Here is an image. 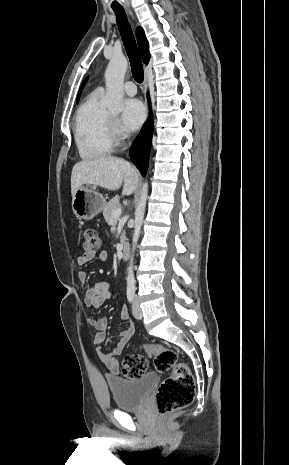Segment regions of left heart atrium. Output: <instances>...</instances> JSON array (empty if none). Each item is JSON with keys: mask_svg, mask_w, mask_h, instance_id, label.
Wrapping results in <instances>:
<instances>
[{"mask_svg": "<svg viewBox=\"0 0 289 465\" xmlns=\"http://www.w3.org/2000/svg\"><path fill=\"white\" fill-rule=\"evenodd\" d=\"M145 117V108L142 102L138 99H127L123 105L122 120L123 125L127 130H137Z\"/></svg>", "mask_w": 289, "mask_h": 465, "instance_id": "1", "label": "left heart atrium"}]
</instances>
